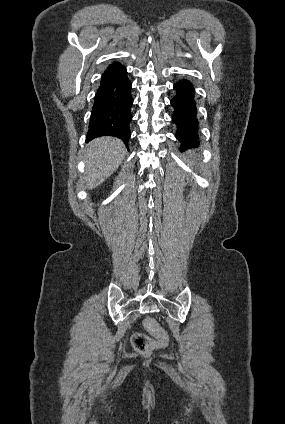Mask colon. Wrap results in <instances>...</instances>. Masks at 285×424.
I'll return each instance as SVG.
<instances>
[{
  "instance_id": "colon-1",
  "label": "colon",
  "mask_w": 285,
  "mask_h": 424,
  "mask_svg": "<svg viewBox=\"0 0 285 424\" xmlns=\"http://www.w3.org/2000/svg\"><path fill=\"white\" fill-rule=\"evenodd\" d=\"M144 326L150 332L152 337L143 332H136L132 335L131 341L134 349L138 353L146 355L165 344L167 341V335L153 318H146L144 320Z\"/></svg>"
}]
</instances>
